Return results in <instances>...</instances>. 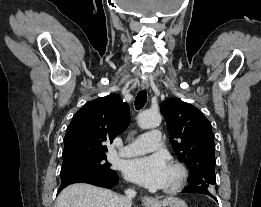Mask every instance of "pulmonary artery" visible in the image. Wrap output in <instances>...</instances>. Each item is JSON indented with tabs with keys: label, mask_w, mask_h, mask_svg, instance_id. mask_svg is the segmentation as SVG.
I'll return each mask as SVG.
<instances>
[{
	"label": "pulmonary artery",
	"mask_w": 261,
	"mask_h": 207,
	"mask_svg": "<svg viewBox=\"0 0 261 207\" xmlns=\"http://www.w3.org/2000/svg\"><path fill=\"white\" fill-rule=\"evenodd\" d=\"M161 146V132L152 130L140 135L133 142L120 150L123 157H132L157 150Z\"/></svg>",
	"instance_id": "e3ab8cb5"
}]
</instances>
